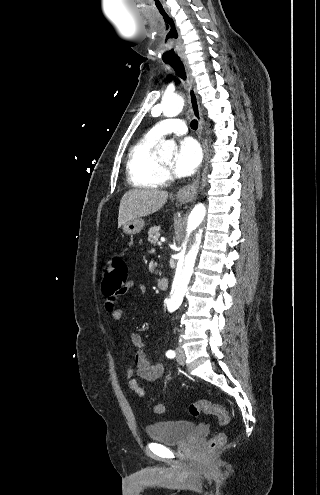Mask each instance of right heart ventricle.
I'll list each match as a JSON object with an SVG mask.
<instances>
[{
    "label": "right heart ventricle",
    "instance_id": "right-heart-ventricle-1",
    "mask_svg": "<svg viewBox=\"0 0 320 495\" xmlns=\"http://www.w3.org/2000/svg\"><path fill=\"white\" fill-rule=\"evenodd\" d=\"M159 138L150 133L139 138L130 148L126 171L128 181L139 188H156L163 183L162 169L155 155Z\"/></svg>",
    "mask_w": 320,
    "mask_h": 495
}]
</instances>
